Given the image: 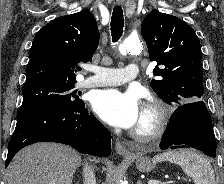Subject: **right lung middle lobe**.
Wrapping results in <instances>:
<instances>
[{"label": "right lung middle lobe", "instance_id": "dd1d6c3e", "mask_svg": "<svg viewBox=\"0 0 224 184\" xmlns=\"http://www.w3.org/2000/svg\"><path fill=\"white\" fill-rule=\"evenodd\" d=\"M75 83H58L38 81L25 84L22 88L23 103L17 113V118L25 113L41 107L59 106L75 107L83 103L76 95Z\"/></svg>", "mask_w": 224, "mask_h": 184}]
</instances>
